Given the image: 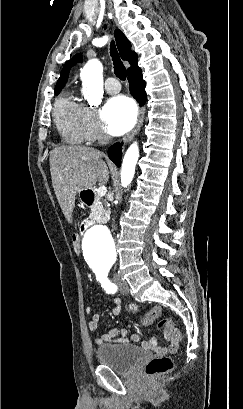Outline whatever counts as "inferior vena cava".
<instances>
[{
    "label": "inferior vena cava",
    "mask_w": 243,
    "mask_h": 409,
    "mask_svg": "<svg viewBox=\"0 0 243 409\" xmlns=\"http://www.w3.org/2000/svg\"><path fill=\"white\" fill-rule=\"evenodd\" d=\"M110 138L106 135H103L99 139V144H107L109 142Z\"/></svg>",
    "instance_id": "602c4592"
}]
</instances>
